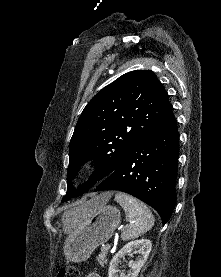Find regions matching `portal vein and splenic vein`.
<instances>
[{"label": "portal vein and splenic vein", "instance_id": "obj_1", "mask_svg": "<svg viewBox=\"0 0 221 277\" xmlns=\"http://www.w3.org/2000/svg\"><path fill=\"white\" fill-rule=\"evenodd\" d=\"M110 247H111V245H110V244H106V245L104 246V249H105V250H109V249H110Z\"/></svg>", "mask_w": 221, "mask_h": 277}]
</instances>
